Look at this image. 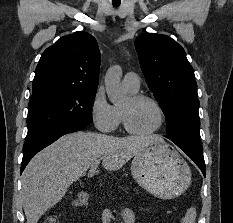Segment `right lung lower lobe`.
I'll return each instance as SVG.
<instances>
[{
    "label": "right lung lower lobe",
    "instance_id": "obj_1",
    "mask_svg": "<svg viewBox=\"0 0 233 223\" xmlns=\"http://www.w3.org/2000/svg\"><path fill=\"white\" fill-rule=\"evenodd\" d=\"M85 126H87V125L84 123H78V122L68 123V124L61 126L58 130L47 135L40 142H38L37 144L32 146L30 149H28L27 151L24 152L20 173H22V171L24 170L26 165L29 163V161L32 159V157L35 154H37L40 150H42L46 146L50 145L51 143L56 141L61 136L68 134V133H72V132L81 130Z\"/></svg>",
    "mask_w": 233,
    "mask_h": 223
}]
</instances>
